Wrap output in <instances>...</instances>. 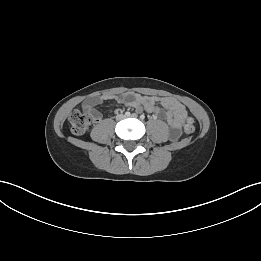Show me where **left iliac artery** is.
<instances>
[{
	"mask_svg": "<svg viewBox=\"0 0 261 261\" xmlns=\"http://www.w3.org/2000/svg\"><path fill=\"white\" fill-rule=\"evenodd\" d=\"M144 118H145V116H144V115H141V116H140V119H141V120H143Z\"/></svg>",
	"mask_w": 261,
	"mask_h": 261,
	"instance_id": "1",
	"label": "left iliac artery"
}]
</instances>
